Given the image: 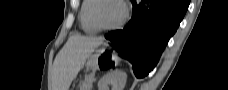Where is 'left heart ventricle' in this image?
Segmentation results:
<instances>
[{
    "mask_svg": "<svg viewBox=\"0 0 228 90\" xmlns=\"http://www.w3.org/2000/svg\"><path fill=\"white\" fill-rule=\"evenodd\" d=\"M122 7L114 1L102 2L97 9V18L105 25L110 26L117 23L122 17Z\"/></svg>",
    "mask_w": 228,
    "mask_h": 90,
    "instance_id": "b2bd125f",
    "label": "left heart ventricle"
}]
</instances>
